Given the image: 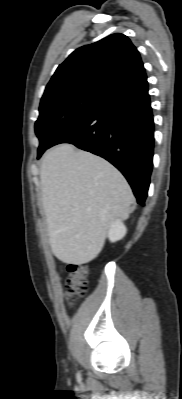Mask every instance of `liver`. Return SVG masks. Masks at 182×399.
Wrapping results in <instances>:
<instances>
[{"label": "liver", "mask_w": 182, "mask_h": 399, "mask_svg": "<svg viewBox=\"0 0 182 399\" xmlns=\"http://www.w3.org/2000/svg\"><path fill=\"white\" fill-rule=\"evenodd\" d=\"M40 179L50 247L66 264L96 258L111 223L133 210L134 196L123 175L73 145H59L44 155Z\"/></svg>", "instance_id": "obj_1"}]
</instances>
